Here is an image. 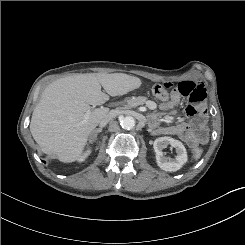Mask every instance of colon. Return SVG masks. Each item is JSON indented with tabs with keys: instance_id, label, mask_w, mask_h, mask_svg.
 Masks as SVG:
<instances>
[{
	"instance_id": "1",
	"label": "colon",
	"mask_w": 245,
	"mask_h": 245,
	"mask_svg": "<svg viewBox=\"0 0 245 245\" xmlns=\"http://www.w3.org/2000/svg\"><path fill=\"white\" fill-rule=\"evenodd\" d=\"M152 92L161 101H166L169 98V92H166L163 89V84L154 85ZM202 153V149L199 147L192 149V156L194 159H199L202 156Z\"/></svg>"
}]
</instances>
